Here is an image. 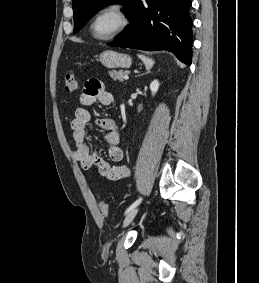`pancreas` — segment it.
I'll use <instances>...</instances> for the list:
<instances>
[{
  "instance_id": "cf45deb5",
  "label": "pancreas",
  "mask_w": 259,
  "mask_h": 283,
  "mask_svg": "<svg viewBox=\"0 0 259 283\" xmlns=\"http://www.w3.org/2000/svg\"><path fill=\"white\" fill-rule=\"evenodd\" d=\"M127 75L126 71H113L110 73V76L114 79V80H119L120 82L124 81V76Z\"/></svg>"
}]
</instances>
